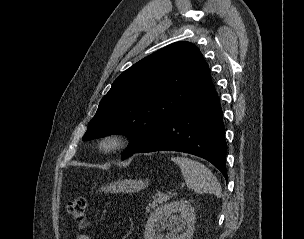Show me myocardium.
<instances>
[{"instance_id":"1","label":"myocardium","mask_w":304,"mask_h":239,"mask_svg":"<svg viewBox=\"0 0 304 239\" xmlns=\"http://www.w3.org/2000/svg\"><path fill=\"white\" fill-rule=\"evenodd\" d=\"M126 145V138L120 132H109L98 140V147L104 153H115Z\"/></svg>"}]
</instances>
